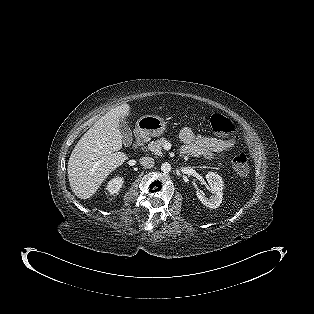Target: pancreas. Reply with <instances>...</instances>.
I'll return each instance as SVG.
<instances>
[{
	"label": "pancreas",
	"mask_w": 314,
	"mask_h": 314,
	"mask_svg": "<svg viewBox=\"0 0 314 314\" xmlns=\"http://www.w3.org/2000/svg\"><path fill=\"white\" fill-rule=\"evenodd\" d=\"M167 142H168V140L166 138H160L156 141L150 142L147 145L146 149L148 151H151V153L156 155V156H162L163 155V153H162L163 145Z\"/></svg>",
	"instance_id": "obj_1"
}]
</instances>
